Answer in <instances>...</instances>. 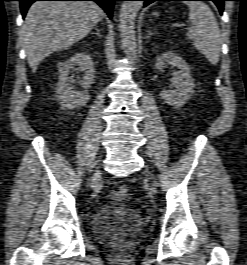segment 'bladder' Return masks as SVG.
Listing matches in <instances>:
<instances>
[{"instance_id": "bladder-1", "label": "bladder", "mask_w": 247, "mask_h": 265, "mask_svg": "<svg viewBox=\"0 0 247 265\" xmlns=\"http://www.w3.org/2000/svg\"><path fill=\"white\" fill-rule=\"evenodd\" d=\"M142 223L141 214L126 205H108L94 218L92 230L99 238H115L136 231Z\"/></svg>"}]
</instances>
